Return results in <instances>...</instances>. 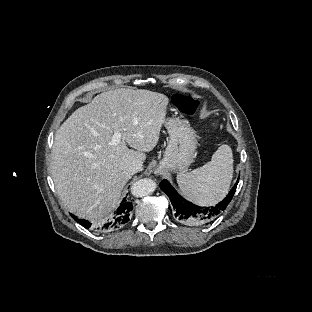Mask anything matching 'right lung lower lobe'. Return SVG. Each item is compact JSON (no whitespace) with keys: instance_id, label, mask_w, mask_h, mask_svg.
<instances>
[{"instance_id":"right-lung-lower-lobe-1","label":"right lung lower lobe","mask_w":312,"mask_h":312,"mask_svg":"<svg viewBox=\"0 0 312 312\" xmlns=\"http://www.w3.org/2000/svg\"><path fill=\"white\" fill-rule=\"evenodd\" d=\"M132 209H133L132 203L127 199H123V201L121 202V205L119 206V208L115 212V215L112 218V220L110 222L104 224L100 228L98 227L97 229L98 230L100 229L102 231L103 230H112V229H116V228L122 226L123 224H125L126 222L129 221V216H130V212L132 211ZM71 216L73 217L74 220H76L79 224H81L82 226H84L86 228H89L92 225L89 221L77 219V217H75L72 214H71Z\"/></svg>"}]
</instances>
